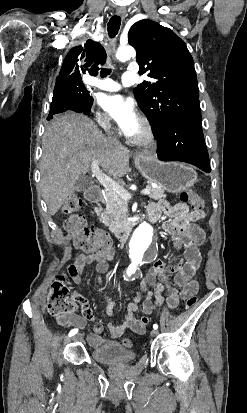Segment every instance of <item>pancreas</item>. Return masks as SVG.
Segmentation results:
<instances>
[{"label": "pancreas", "instance_id": "pancreas-1", "mask_svg": "<svg viewBox=\"0 0 247 413\" xmlns=\"http://www.w3.org/2000/svg\"><path fill=\"white\" fill-rule=\"evenodd\" d=\"M146 188H150V198H165L164 190L160 188H153L150 184H147ZM106 204V209L101 213L100 221L104 223L105 227H109L111 233H116L122 227H130L131 223L126 221V213L128 211V204L120 194H114L110 190H105L104 198L102 200Z\"/></svg>", "mask_w": 247, "mask_h": 413}]
</instances>
